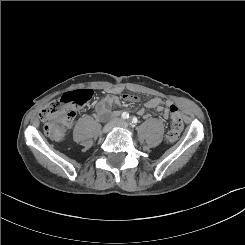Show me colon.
<instances>
[{
    "label": "colon",
    "instance_id": "1",
    "mask_svg": "<svg viewBox=\"0 0 245 245\" xmlns=\"http://www.w3.org/2000/svg\"><path fill=\"white\" fill-rule=\"evenodd\" d=\"M92 97L93 92L89 89L73 90L44 107L41 111V118L45 122L46 135L55 141H62L65 138L66 129L75 115L74 109L87 104ZM168 112L171 117V126L166 134V143L172 144L180 136L183 120L175 105H169Z\"/></svg>",
    "mask_w": 245,
    "mask_h": 245
}]
</instances>
